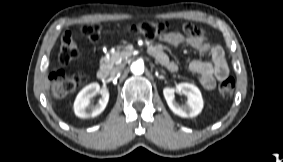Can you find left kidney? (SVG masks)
<instances>
[{
  "label": "left kidney",
  "mask_w": 283,
  "mask_h": 162,
  "mask_svg": "<svg viewBox=\"0 0 283 162\" xmlns=\"http://www.w3.org/2000/svg\"><path fill=\"white\" fill-rule=\"evenodd\" d=\"M175 92L187 97L186 104H179L175 100ZM163 95L171 111L180 117L192 118L202 111L203 99L201 92L198 87L191 83H179L175 88L165 87Z\"/></svg>",
  "instance_id": "left-kidney-1"
}]
</instances>
